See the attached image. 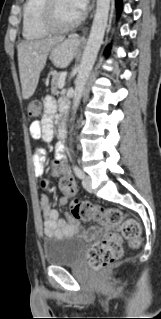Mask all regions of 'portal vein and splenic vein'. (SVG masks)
Here are the masks:
<instances>
[{
    "mask_svg": "<svg viewBox=\"0 0 161 319\" xmlns=\"http://www.w3.org/2000/svg\"><path fill=\"white\" fill-rule=\"evenodd\" d=\"M66 76H67V72L64 71L61 73L60 75V81H59V88L62 89L65 85V79H66Z\"/></svg>",
    "mask_w": 161,
    "mask_h": 319,
    "instance_id": "1",
    "label": "portal vein and splenic vein"
}]
</instances>
